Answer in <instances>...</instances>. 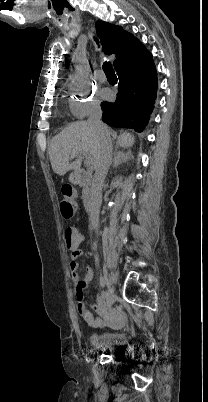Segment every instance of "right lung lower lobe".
Segmentation results:
<instances>
[{
    "label": "right lung lower lobe",
    "mask_w": 208,
    "mask_h": 402,
    "mask_svg": "<svg viewBox=\"0 0 208 402\" xmlns=\"http://www.w3.org/2000/svg\"><path fill=\"white\" fill-rule=\"evenodd\" d=\"M119 92L113 103L103 102L102 120L116 128L142 132L157 97V72L152 54L135 37L117 57Z\"/></svg>",
    "instance_id": "obj_1"
}]
</instances>
